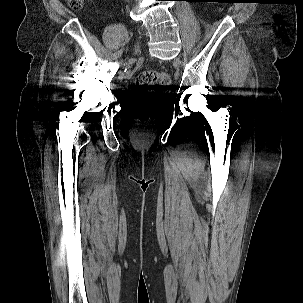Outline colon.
<instances>
[{"mask_svg":"<svg viewBox=\"0 0 303 303\" xmlns=\"http://www.w3.org/2000/svg\"><path fill=\"white\" fill-rule=\"evenodd\" d=\"M72 9H79L83 0H67ZM170 78L163 71L146 70L141 72L136 79L139 92L135 94V102L141 117L145 118L166 100V93L157 89L168 87Z\"/></svg>","mask_w":303,"mask_h":303,"instance_id":"obj_1","label":"colon"}]
</instances>
